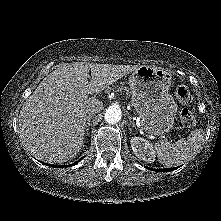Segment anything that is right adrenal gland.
<instances>
[{
    "instance_id": "obj_1",
    "label": "right adrenal gland",
    "mask_w": 221,
    "mask_h": 221,
    "mask_svg": "<svg viewBox=\"0 0 221 221\" xmlns=\"http://www.w3.org/2000/svg\"><path fill=\"white\" fill-rule=\"evenodd\" d=\"M91 116L86 117V126H85V132L87 135H89V127H90V121H91Z\"/></svg>"
}]
</instances>
